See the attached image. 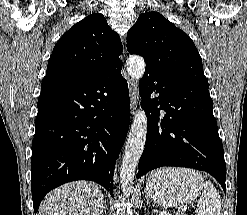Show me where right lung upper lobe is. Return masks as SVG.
<instances>
[{
	"label": "right lung upper lobe",
	"mask_w": 247,
	"mask_h": 215,
	"mask_svg": "<svg viewBox=\"0 0 247 215\" xmlns=\"http://www.w3.org/2000/svg\"><path fill=\"white\" fill-rule=\"evenodd\" d=\"M122 44L102 14L94 13L75 24L56 43L47 76L68 82H86L122 64Z\"/></svg>",
	"instance_id": "1"
}]
</instances>
